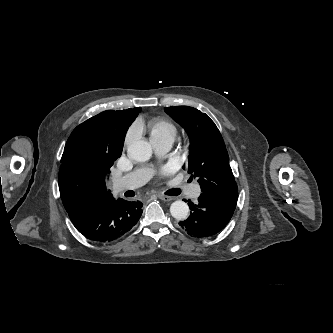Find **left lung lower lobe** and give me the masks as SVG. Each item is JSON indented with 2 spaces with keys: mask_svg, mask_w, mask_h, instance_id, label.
I'll list each match as a JSON object with an SVG mask.
<instances>
[{
  "mask_svg": "<svg viewBox=\"0 0 333 333\" xmlns=\"http://www.w3.org/2000/svg\"><path fill=\"white\" fill-rule=\"evenodd\" d=\"M236 204L237 200H221L202 193L197 204H189L192 212L179 225L192 237L212 236L228 224Z\"/></svg>",
  "mask_w": 333,
  "mask_h": 333,
  "instance_id": "1",
  "label": "left lung lower lobe"
}]
</instances>
